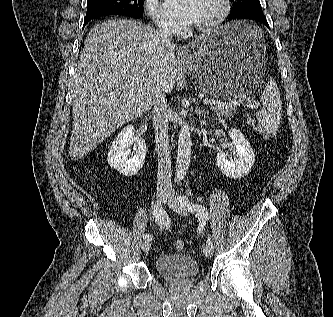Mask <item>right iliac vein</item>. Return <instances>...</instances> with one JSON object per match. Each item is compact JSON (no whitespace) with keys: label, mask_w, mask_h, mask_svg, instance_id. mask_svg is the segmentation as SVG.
Returning <instances> with one entry per match:
<instances>
[{"label":"right iliac vein","mask_w":333,"mask_h":317,"mask_svg":"<svg viewBox=\"0 0 333 317\" xmlns=\"http://www.w3.org/2000/svg\"><path fill=\"white\" fill-rule=\"evenodd\" d=\"M167 196H168V192L165 191V190H159L158 193H157V198H158V201L159 202H162L164 203L167 199ZM141 248L144 252H147L150 250L151 248V243L150 241L148 240H144L142 245H141Z\"/></svg>","instance_id":"obj_1"}]
</instances>
